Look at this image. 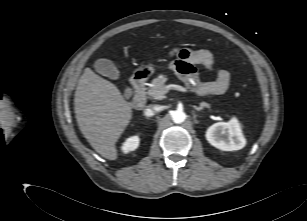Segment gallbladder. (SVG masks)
Wrapping results in <instances>:
<instances>
[{
    "label": "gallbladder",
    "mask_w": 307,
    "mask_h": 221,
    "mask_svg": "<svg viewBox=\"0 0 307 221\" xmlns=\"http://www.w3.org/2000/svg\"><path fill=\"white\" fill-rule=\"evenodd\" d=\"M94 68L97 73H99L102 76H105L111 80H119L120 79V71L118 68L115 66V64L105 58H100L95 61L94 63ZM132 89L127 88L125 97L129 98L132 94Z\"/></svg>",
    "instance_id": "bac80fb5"
}]
</instances>
